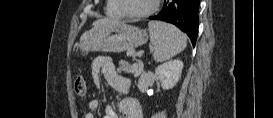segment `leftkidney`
Instances as JSON below:
<instances>
[{"instance_id":"obj_1","label":"left kidney","mask_w":273,"mask_h":118,"mask_svg":"<svg viewBox=\"0 0 273 118\" xmlns=\"http://www.w3.org/2000/svg\"><path fill=\"white\" fill-rule=\"evenodd\" d=\"M183 62L179 59L165 62L155 69V76L164 90L173 88L181 77Z\"/></svg>"}]
</instances>
